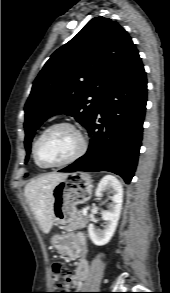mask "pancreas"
I'll use <instances>...</instances> for the list:
<instances>
[{
  "instance_id": "obj_1",
  "label": "pancreas",
  "mask_w": 170,
  "mask_h": 293,
  "mask_svg": "<svg viewBox=\"0 0 170 293\" xmlns=\"http://www.w3.org/2000/svg\"><path fill=\"white\" fill-rule=\"evenodd\" d=\"M87 222V217L84 216L82 212H78L77 215L70 221V223L65 228L67 230L82 229L86 226Z\"/></svg>"
}]
</instances>
